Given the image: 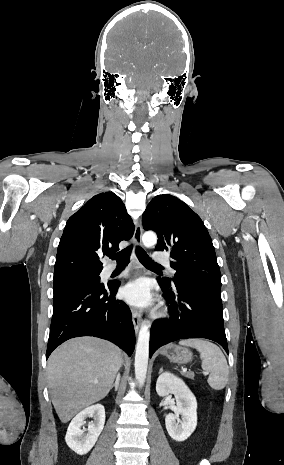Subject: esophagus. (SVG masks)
I'll use <instances>...</instances> for the list:
<instances>
[{
  "label": "esophagus",
  "mask_w": 284,
  "mask_h": 465,
  "mask_svg": "<svg viewBox=\"0 0 284 465\" xmlns=\"http://www.w3.org/2000/svg\"><path fill=\"white\" fill-rule=\"evenodd\" d=\"M142 233H143V229H142L141 222H138L136 227H135V232H134V235H133V242L136 245V247H141V245H142L141 244ZM132 260L134 262L135 268L138 269V270H142V266L139 263V261L137 259V256H136V252L135 253L133 252ZM132 321H133V325H134V330L137 333L139 331L140 324H141V315L135 309H132Z\"/></svg>",
  "instance_id": "1"
}]
</instances>
